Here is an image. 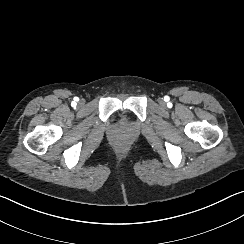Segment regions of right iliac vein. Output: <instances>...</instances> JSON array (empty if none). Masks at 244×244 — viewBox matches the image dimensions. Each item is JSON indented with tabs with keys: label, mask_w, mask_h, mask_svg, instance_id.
Returning a JSON list of instances; mask_svg holds the SVG:
<instances>
[{
	"label": "right iliac vein",
	"mask_w": 244,
	"mask_h": 244,
	"mask_svg": "<svg viewBox=\"0 0 244 244\" xmlns=\"http://www.w3.org/2000/svg\"><path fill=\"white\" fill-rule=\"evenodd\" d=\"M80 105H83V102H80Z\"/></svg>",
	"instance_id": "1"
}]
</instances>
